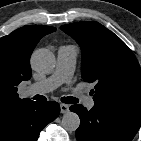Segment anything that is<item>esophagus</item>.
Masks as SVG:
<instances>
[{"mask_svg": "<svg viewBox=\"0 0 141 141\" xmlns=\"http://www.w3.org/2000/svg\"><path fill=\"white\" fill-rule=\"evenodd\" d=\"M61 113H67L69 111V105L67 104H60Z\"/></svg>", "mask_w": 141, "mask_h": 141, "instance_id": "1", "label": "esophagus"}]
</instances>
